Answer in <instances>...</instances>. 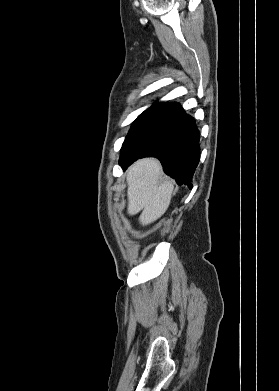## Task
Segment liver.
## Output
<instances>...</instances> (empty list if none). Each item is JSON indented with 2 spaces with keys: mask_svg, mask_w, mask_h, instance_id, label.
<instances>
[{
  "mask_svg": "<svg viewBox=\"0 0 279 391\" xmlns=\"http://www.w3.org/2000/svg\"><path fill=\"white\" fill-rule=\"evenodd\" d=\"M161 177L162 167L155 158L141 159L128 170V214L142 211L139 221L143 226L156 221L169 207L174 184L160 181Z\"/></svg>",
  "mask_w": 279,
  "mask_h": 391,
  "instance_id": "obj_1",
  "label": "liver"
}]
</instances>
